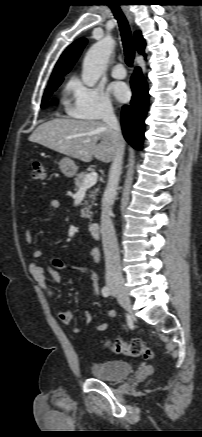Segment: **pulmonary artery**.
<instances>
[{
    "mask_svg": "<svg viewBox=\"0 0 202 437\" xmlns=\"http://www.w3.org/2000/svg\"><path fill=\"white\" fill-rule=\"evenodd\" d=\"M111 75H112V77H114L116 79L125 78L126 70H125L123 64L118 63V64L114 65L111 69Z\"/></svg>",
    "mask_w": 202,
    "mask_h": 437,
    "instance_id": "pulmonary-artery-1",
    "label": "pulmonary artery"
}]
</instances>
